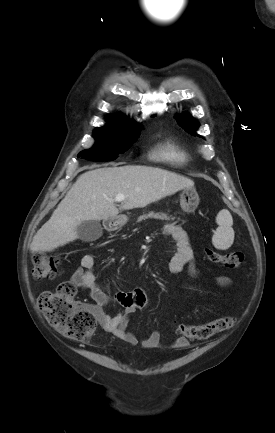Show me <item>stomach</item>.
<instances>
[{"label": "stomach", "instance_id": "1", "mask_svg": "<svg viewBox=\"0 0 275 433\" xmlns=\"http://www.w3.org/2000/svg\"><path fill=\"white\" fill-rule=\"evenodd\" d=\"M199 196L194 188H185L180 195V206L183 212L193 213L199 205ZM128 221L125 215L117 216L116 218L109 219L107 228L109 230H116L124 226Z\"/></svg>", "mask_w": 275, "mask_h": 433}]
</instances>
